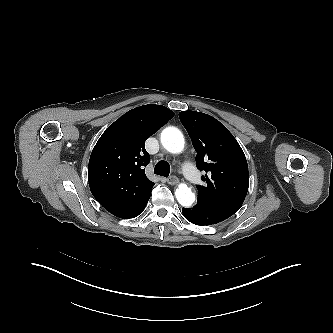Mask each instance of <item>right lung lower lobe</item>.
<instances>
[{"label": "right lung lower lobe", "mask_w": 333, "mask_h": 333, "mask_svg": "<svg viewBox=\"0 0 333 333\" xmlns=\"http://www.w3.org/2000/svg\"><path fill=\"white\" fill-rule=\"evenodd\" d=\"M149 198H150V195L147 196L138 206H136L134 209H132L131 212L124 219L134 218V217L138 216L146 207Z\"/></svg>", "instance_id": "obj_1"}]
</instances>
